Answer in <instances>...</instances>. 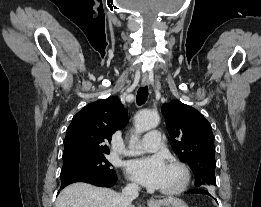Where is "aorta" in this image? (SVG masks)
I'll list each match as a JSON object with an SVG mask.
<instances>
[{
  "label": "aorta",
  "mask_w": 261,
  "mask_h": 207,
  "mask_svg": "<svg viewBox=\"0 0 261 207\" xmlns=\"http://www.w3.org/2000/svg\"><path fill=\"white\" fill-rule=\"evenodd\" d=\"M134 119L135 134L131 138V143H135L140 134L157 127L160 122L158 113L152 111H140Z\"/></svg>",
  "instance_id": "762f6f07"
}]
</instances>
